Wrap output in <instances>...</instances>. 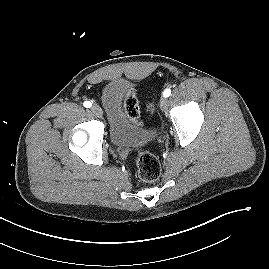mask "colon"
Instances as JSON below:
<instances>
[{
    "instance_id": "5ec220e1",
    "label": "colon",
    "mask_w": 269,
    "mask_h": 269,
    "mask_svg": "<svg viewBox=\"0 0 269 269\" xmlns=\"http://www.w3.org/2000/svg\"><path fill=\"white\" fill-rule=\"evenodd\" d=\"M148 110L153 113V104H148ZM124 108L128 118L136 125H141L140 109L138 104L137 93L131 89L125 99ZM136 168L139 177L146 182H153L157 180L161 173V165L158 158L150 152H140L135 159Z\"/></svg>"
}]
</instances>
